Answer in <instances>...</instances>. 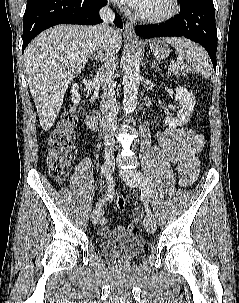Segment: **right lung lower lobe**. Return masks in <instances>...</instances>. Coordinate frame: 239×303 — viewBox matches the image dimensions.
Instances as JSON below:
<instances>
[{"label":"right lung lower lobe","mask_w":239,"mask_h":303,"mask_svg":"<svg viewBox=\"0 0 239 303\" xmlns=\"http://www.w3.org/2000/svg\"><path fill=\"white\" fill-rule=\"evenodd\" d=\"M106 4L107 0H27L22 52L36 35L54 25L101 23L99 10ZM114 23L123 27L120 17H116Z\"/></svg>","instance_id":"98d812e1"}]
</instances>
